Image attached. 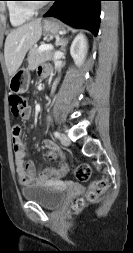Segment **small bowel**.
Wrapping results in <instances>:
<instances>
[{"label":"small bowel","mask_w":133,"mask_h":253,"mask_svg":"<svg viewBox=\"0 0 133 253\" xmlns=\"http://www.w3.org/2000/svg\"><path fill=\"white\" fill-rule=\"evenodd\" d=\"M39 73L42 77H46L48 75V69L42 67L39 69ZM30 115L31 109L27 107L22 118L27 120L30 118ZM22 132V127L19 125H15L12 128V144L14 150L16 173L19 183L21 185L27 186L31 184L46 182L49 178L54 176H64L67 172L66 165H62L58 169H55L53 167H46L41 172H36L32 161L28 159V152L26 144L22 139ZM42 144L43 147L49 149L50 151L57 150L56 144L51 140H44Z\"/></svg>","instance_id":"c3829d8e"}]
</instances>
